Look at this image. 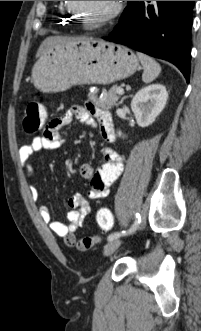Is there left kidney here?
I'll return each mask as SVG.
<instances>
[{
  "instance_id": "5707ae66",
  "label": "left kidney",
  "mask_w": 201,
  "mask_h": 331,
  "mask_svg": "<svg viewBox=\"0 0 201 331\" xmlns=\"http://www.w3.org/2000/svg\"><path fill=\"white\" fill-rule=\"evenodd\" d=\"M168 99V93L162 84H152L142 88L133 97L131 109L140 127L152 124L164 109ZM121 131L118 135L121 136Z\"/></svg>"
}]
</instances>
